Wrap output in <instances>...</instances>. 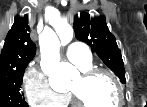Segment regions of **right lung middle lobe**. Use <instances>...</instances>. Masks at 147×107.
<instances>
[{"instance_id":"right-lung-middle-lobe-1","label":"right lung middle lobe","mask_w":147,"mask_h":107,"mask_svg":"<svg viewBox=\"0 0 147 107\" xmlns=\"http://www.w3.org/2000/svg\"><path fill=\"white\" fill-rule=\"evenodd\" d=\"M25 68L0 75V107H29L20 92Z\"/></svg>"}]
</instances>
